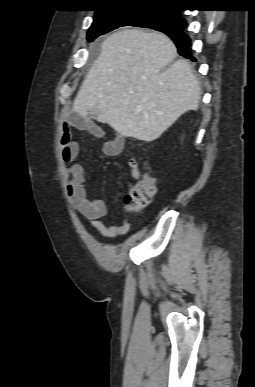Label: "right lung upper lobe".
Listing matches in <instances>:
<instances>
[{
  "label": "right lung upper lobe",
  "instance_id": "1",
  "mask_svg": "<svg viewBox=\"0 0 255 387\" xmlns=\"http://www.w3.org/2000/svg\"><path fill=\"white\" fill-rule=\"evenodd\" d=\"M104 3L96 13L122 11L133 8H168L174 7L176 0H102ZM179 12L178 10L172 9Z\"/></svg>",
  "mask_w": 255,
  "mask_h": 387
}]
</instances>
